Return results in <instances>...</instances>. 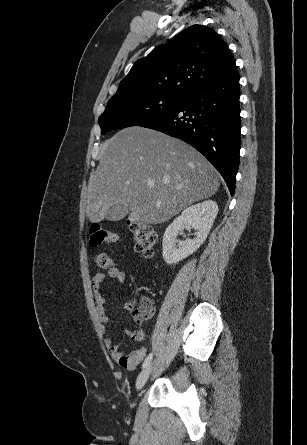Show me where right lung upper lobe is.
Wrapping results in <instances>:
<instances>
[{"label": "right lung upper lobe", "mask_w": 307, "mask_h": 445, "mask_svg": "<svg viewBox=\"0 0 307 445\" xmlns=\"http://www.w3.org/2000/svg\"><path fill=\"white\" fill-rule=\"evenodd\" d=\"M235 67L228 46L212 28L192 25L137 60L114 96H185Z\"/></svg>", "instance_id": "right-lung-upper-lobe-1"}]
</instances>
